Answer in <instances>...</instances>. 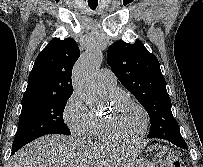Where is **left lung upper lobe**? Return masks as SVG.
Here are the masks:
<instances>
[{
  "mask_svg": "<svg viewBox=\"0 0 203 167\" xmlns=\"http://www.w3.org/2000/svg\"><path fill=\"white\" fill-rule=\"evenodd\" d=\"M107 63L122 85L146 109L151 122L148 138L164 139L173 134L181 136L178 123L172 115L171 100L159 61L142 42L113 43L107 52Z\"/></svg>",
  "mask_w": 203,
  "mask_h": 167,
  "instance_id": "left-lung-upper-lobe-1",
  "label": "left lung upper lobe"
}]
</instances>
